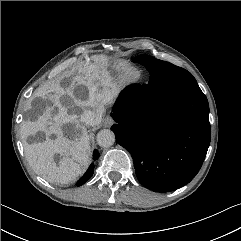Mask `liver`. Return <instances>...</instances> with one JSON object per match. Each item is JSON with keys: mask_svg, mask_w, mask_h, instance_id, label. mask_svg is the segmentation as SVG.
<instances>
[{"mask_svg": "<svg viewBox=\"0 0 241 241\" xmlns=\"http://www.w3.org/2000/svg\"><path fill=\"white\" fill-rule=\"evenodd\" d=\"M92 60L73 70L65 86H61L63 78H60L40 91L37 96L44 101L43 107L35 110V120L22 122L25 155L35 172L51 183L67 184L81 175L89 164L90 138L75 107L91 109L96 115L92 126H97L105 106L118 93L117 85L106 70L107 57L94 56ZM81 87L87 89L83 97L78 92ZM38 132L45 134V140L29 144L27 138ZM56 154L63 157L59 163L54 160Z\"/></svg>", "mask_w": 241, "mask_h": 241, "instance_id": "1", "label": "liver"}]
</instances>
